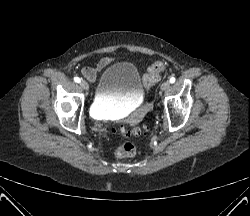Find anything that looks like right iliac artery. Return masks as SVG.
I'll list each match as a JSON object with an SVG mask.
<instances>
[{"label":"right iliac artery","mask_w":250,"mask_h":216,"mask_svg":"<svg viewBox=\"0 0 250 216\" xmlns=\"http://www.w3.org/2000/svg\"><path fill=\"white\" fill-rule=\"evenodd\" d=\"M74 81L77 82V83H80L81 79L78 78V77H74Z\"/></svg>","instance_id":"obj_1"}]
</instances>
